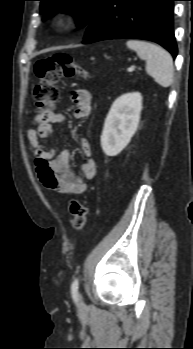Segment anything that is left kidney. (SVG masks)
<instances>
[{"label":"left kidney","mask_w":193,"mask_h":349,"mask_svg":"<svg viewBox=\"0 0 193 349\" xmlns=\"http://www.w3.org/2000/svg\"><path fill=\"white\" fill-rule=\"evenodd\" d=\"M141 110L139 92L123 94L113 102L101 135V146L107 156L118 155L129 144L138 128Z\"/></svg>","instance_id":"1"}]
</instances>
